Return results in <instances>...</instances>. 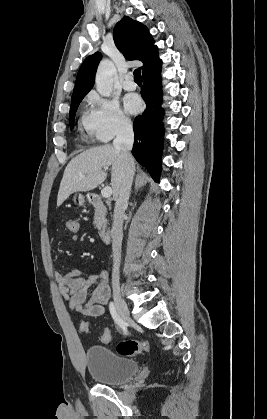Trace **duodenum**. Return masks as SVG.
<instances>
[{
	"label": "duodenum",
	"instance_id": "obj_1",
	"mask_svg": "<svg viewBox=\"0 0 267 419\" xmlns=\"http://www.w3.org/2000/svg\"><path fill=\"white\" fill-rule=\"evenodd\" d=\"M89 202L95 208H98V209H104L105 208V204H104L102 198L100 196L96 195V194H92V195L89 196ZM99 236H100V238L103 242H105V243L109 242V240L111 238V226H110V224L106 223V224H103L100 227Z\"/></svg>",
	"mask_w": 267,
	"mask_h": 419
}]
</instances>
